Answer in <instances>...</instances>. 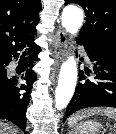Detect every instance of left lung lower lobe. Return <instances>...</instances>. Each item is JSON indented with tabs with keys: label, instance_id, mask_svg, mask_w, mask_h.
Masks as SVG:
<instances>
[{
	"label": "left lung lower lobe",
	"instance_id": "obj_1",
	"mask_svg": "<svg viewBox=\"0 0 116 134\" xmlns=\"http://www.w3.org/2000/svg\"><path fill=\"white\" fill-rule=\"evenodd\" d=\"M83 45L90 60L94 62L92 71L80 72V80L70 100L63 122L73 113L91 107L116 108V49L87 41ZM93 74L91 80L86 76Z\"/></svg>",
	"mask_w": 116,
	"mask_h": 134
}]
</instances>
